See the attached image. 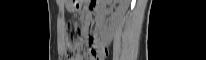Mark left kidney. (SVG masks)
Instances as JSON below:
<instances>
[{"mask_svg":"<svg viewBox=\"0 0 206 60\" xmlns=\"http://www.w3.org/2000/svg\"><path fill=\"white\" fill-rule=\"evenodd\" d=\"M110 0H100L97 7V20H98V29L101 36V39L105 43H109L112 40L115 26L119 20V17L126 10V1L118 0L119 6L115 11V14L107 20L106 16L108 14L107 4Z\"/></svg>","mask_w":206,"mask_h":60,"instance_id":"5707ae66","label":"left kidney"}]
</instances>
